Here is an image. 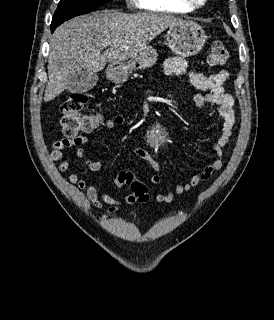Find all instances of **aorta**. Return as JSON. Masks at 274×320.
<instances>
[{"label":"aorta","instance_id":"762f6f07","mask_svg":"<svg viewBox=\"0 0 274 320\" xmlns=\"http://www.w3.org/2000/svg\"><path fill=\"white\" fill-rule=\"evenodd\" d=\"M149 140L152 146L158 148L165 143L166 133L161 127L157 126L150 132Z\"/></svg>","mask_w":274,"mask_h":320}]
</instances>
